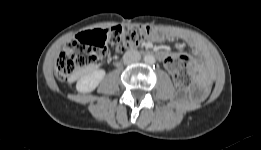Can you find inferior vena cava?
<instances>
[{
  "instance_id": "obj_1",
  "label": "inferior vena cava",
  "mask_w": 261,
  "mask_h": 150,
  "mask_svg": "<svg viewBox=\"0 0 261 150\" xmlns=\"http://www.w3.org/2000/svg\"><path fill=\"white\" fill-rule=\"evenodd\" d=\"M140 59L141 55L136 50H129L123 56L124 64L126 65L137 63L140 61Z\"/></svg>"
}]
</instances>
